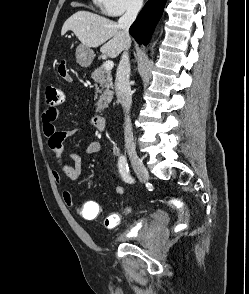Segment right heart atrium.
Instances as JSON below:
<instances>
[{
	"label": "right heart atrium",
	"mask_w": 249,
	"mask_h": 294,
	"mask_svg": "<svg viewBox=\"0 0 249 294\" xmlns=\"http://www.w3.org/2000/svg\"><path fill=\"white\" fill-rule=\"evenodd\" d=\"M102 12L116 17L125 13L137 12L143 5V0H95Z\"/></svg>",
	"instance_id": "right-heart-atrium-1"
}]
</instances>
